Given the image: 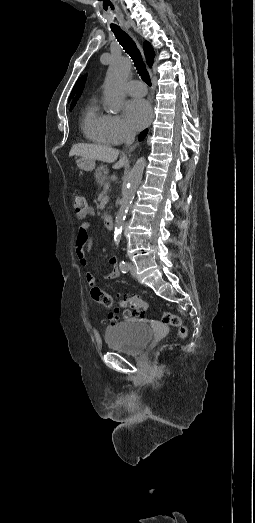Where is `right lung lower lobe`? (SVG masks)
<instances>
[{"instance_id": "obj_1", "label": "right lung lower lobe", "mask_w": 255, "mask_h": 523, "mask_svg": "<svg viewBox=\"0 0 255 523\" xmlns=\"http://www.w3.org/2000/svg\"><path fill=\"white\" fill-rule=\"evenodd\" d=\"M139 139H141V140L143 139V138L141 137V135L139 136Z\"/></svg>"}]
</instances>
